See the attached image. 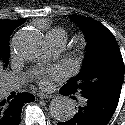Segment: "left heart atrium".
<instances>
[{
	"label": "left heart atrium",
	"instance_id": "1",
	"mask_svg": "<svg viewBox=\"0 0 125 125\" xmlns=\"http://www.w3.org/2000/svg\"><path fill=\"white\" fill-rule=\"evenodd\" d=\"M63 74V71L60 69H53L49 72V75L53 78H57ZM40 84L42 86H47L49 84L48 76H43L40 78Z\"/></svg>",
	"mask_w": 125,
	"mask_h": 125
}]
</instances>
